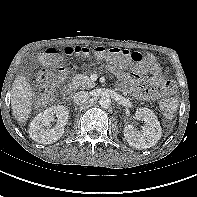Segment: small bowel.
I'll return each instance as SVG.
<instances>
[{
  "label": "small bowel",
  "instance_id": "obj_1",
  "mask_svg": "<svg viewBox=\"0 0 197 197\" xmlns=\"http://www.w3.org/2000/svg\"><path fill=\"white\" fill-rule=\"evenodd\" d=\"M120 69H117V75L122 79L121 87L129 88L132 94L141 100H157L163 96H172L174 85L171 81L165 80L162 76V69L159 63H154L150 67V78L143 80L141 75L127 69V63L120 61Z\"/></svg>",
  "mask_w": 197,
  "mask_h": 197
}]
</instances>
